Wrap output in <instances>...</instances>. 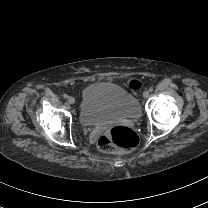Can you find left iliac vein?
I'll list each match as a JSON object with an SVG mask.
<instances>
[{
  "instance_id": "obj_1",
  "label": "left iliac vein",
  "mask_w": 208,
  "mask_h": 208,
  "mask_svg": "<svg viewBox=\"0 0 208 208\" xmlns=\"http://www.w3.org/2000/svg\"><path fill=\"white\" fill-rule=\"evenodd\" d=\"M149 95H150L149 91H144V92H143V97H144V98H148Z\"/></svg>"
}]
</instances>
